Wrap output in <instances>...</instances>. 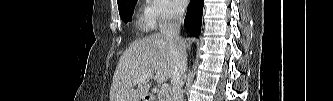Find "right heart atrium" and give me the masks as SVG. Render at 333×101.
<instances>
[{
    "label": "right heart atrium",
    "mask_w": 333,
    "mask_h": 101,
    "mask_svg": "<svg viewBox=\"0 0 333 101\" xmlns=\"http://www.w3.org/2000/svg\"><path fill=\"white\" fill-rule=\"evenodd\" d=\"M147 19L151 28L169 24L180 17V10L169 0H150L147 4Z\"/></svg>",
    "instance_id": "d8ad5b80"
}]
</instances>
